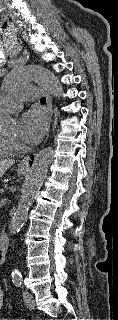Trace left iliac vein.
<instances>
[{
    "label": "left iliac vein",
    "instance_id": "1",
    "mask_svg": "<svg viewBox=\"0 0 118 320\" xmlns=\"http://www.w3.org/2000/svg\"><path fill=\"white\" fill-rule=\"evenodd\" d=\"M23 299H24V303L25 305L30 308V309H34L35 308V301L33 296L28 292V291H24L23 293Z\"/></svg>",
    "mask_w": 118,
    "mask_h": 320
}]
</instances>
